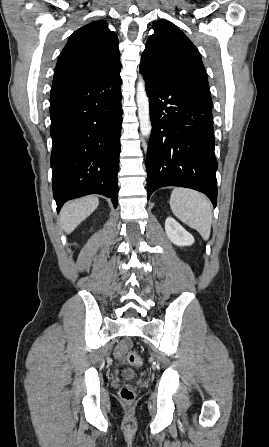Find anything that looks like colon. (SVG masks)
<instances>
[{
    "label": "colon",
    "instance_id": "1",
    "mask_svg": "<svg viewBox=\"0 0 269 447\" xmlns=\"http://www.w3.org/2000/svg\"><path fill=\"white\" fill-rule=\"evenodd\" d=\"M124 351L123 357L127 364L129 365H141V357L133 350L126 349ZM119 398L125 404H131L136 398L135 387L132 383H124L119 390Z\"/></svg>",
    "mask_w": 269,
    "mask_h": 447
}]
</instances>
